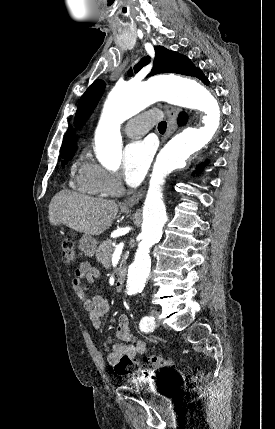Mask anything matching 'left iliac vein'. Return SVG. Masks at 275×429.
Instances as JSON below:
<instances>
[{
  "label": "left iliac vein",
  "mask_w": 275,
  "mask_h": 429,
  "mask_svg": "<svg viewBox=\"0 0 275 429\" xmlns=\"http://www.w3.org/2000/svg\"><path fill=\"white\" fill-rule=\"evenodd\" d=\"M159 313L156 310H152L151 311V317L153 318V320L158 324L159 323V319H158Z\"/></svg>",
  "instance_id": "1"
}]
</instances>
